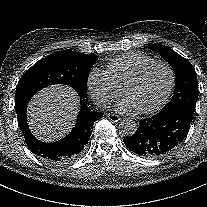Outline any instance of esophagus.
Masks as SVG:
<instances>
[{
    "label": "esophagus",
    "mask_w": 207,
    "mask_h": 207,
    "mask_svg": "<svg viewBox=\"0 0 207 207\" xmlns=\"http://www.w3.org/2000/svg\"><path fill=\"white\" fill-rule=\"evenodd\" d=\"M108 119H110L113 124L118 125L121 122V118L118 115L115 114H108L107 115Z\"/></svg>",
    "instance_id": "1"
}]
</instances>
